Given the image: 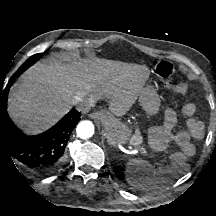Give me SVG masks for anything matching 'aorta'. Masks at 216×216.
Instances as JSON below:
<instances>
[{
    "label": "aorta",
    "instance_id": "aorta-1",
    "mask_svg": "<svg viewBox=\"0 0 216 216\" xmlns=\"http://www.w3.org/2000/svg\"><path fill=\"white\" fill-rule=\"evenodd\" d=\"M110 122L116 124L113 119ZM76 132L81 139L90 138L94 134V125L91 121H82L77 125Z\"/></svg>",
    "mask_w": 216,
    "mask_h": 216
}]
</instances>
